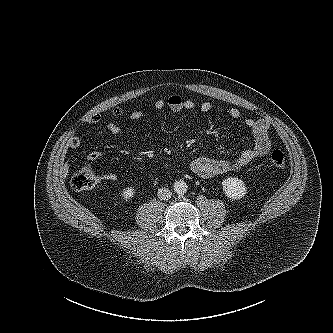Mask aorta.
<instances>
[{
	"mask_svg": "<svg viewBox=\"0 0 333 333\" xmlns=\"http://www.w3.org/2000/svg\"><path fill=\"white\" fill-rule=\"evenodd\" d=\"M173 187H174V191L179 195L185 194L187 192V189H188V186H187L186 182L181 181V180L176 181L174 183Z\"/></svg>",
	"mask_w": 333,
	"mask_h": 333,
	"instance_id": "1",
	"label": "aorta"
}]
</instances>
